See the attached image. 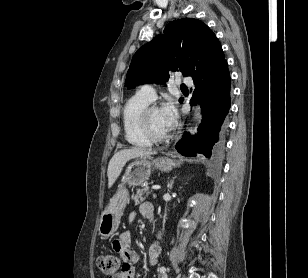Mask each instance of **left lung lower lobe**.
Returning a JSON list of instances; mask_svg holds the SVG:
<instances>
[{"mask_svg": "<svg viewBox=\"0 0 308 278\" xmlns=\"http://www.w3.org/2000/svg\"><path fill=\"white\" fill-rule=\"evenodd\" d=\"M195 90L190 100L201 104L203 122L194 137L185 133L176 149L183 156L195 157L201 153L207 158L223 143L225 131L224 119L230 108V74L227 61L224 60L217 68L204 77L195 78Z\"/></svg>", "mask_w": 308, "mask_h": 278, "instance_id": "0a47b994", "label": "left lung lower lobe"}]
</instances>
